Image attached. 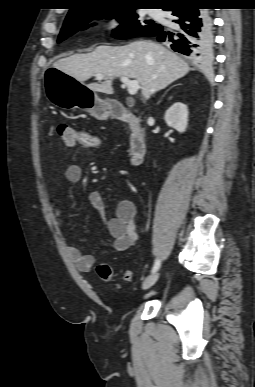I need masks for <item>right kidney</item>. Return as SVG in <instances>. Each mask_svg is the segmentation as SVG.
Segmentation results:
<instances>
[{
    "label": "right kidney",
    "mask_w": 255,
    "mask_h": 387,
    "mask_svg": "<svg viewBox=\"0 0 255 387\" xmlns=\"http://www.w3.org/2000/svg\"><path fill=\"white\" fill-rule=\"evenodd\" d=\"M164 118L167 125L183 133L188 125V107L181 102H176L165 112Z\"/></svg>",
    "instance_id": "1"
}]
</instances>
